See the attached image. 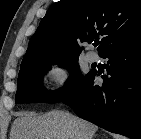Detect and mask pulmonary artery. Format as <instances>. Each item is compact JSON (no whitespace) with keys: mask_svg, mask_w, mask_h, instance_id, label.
<instances>
[{"mask_svg":"<svg viewBox=\"0 0 141 139\" xmlns=\"http://www.w3.org/2000/svg\"><path fill=\"white\" fill-rule=\"evenodd\" d=\"M97 58H98L97 55H96L95 53H93V52H88V53L86 54V59H87L90 63L97 61Z\"/></svg>","mask_w":141,"mask_h":139,"instance_id":"1","label":"pulmonary artery"}]
</instances>
